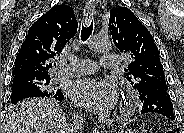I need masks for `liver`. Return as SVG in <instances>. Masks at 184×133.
Returning a JSON list of instances; mask_svg holds the SVG:
<instances>
[{"label":"liver","instance_id":"1","mask_svg":"<svg viewBox=\"0 0 184 133\" xmlns=\"http://www.w3.org/2000/svg\"><path fill=\"white\" fill-rule=\"evenodd\" d=\"M70 125L54 99H26L14 106L4 120V133H68Z\"/></svg>","mask_w":184,"mask_h":133}]
</instances>
